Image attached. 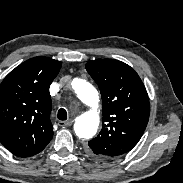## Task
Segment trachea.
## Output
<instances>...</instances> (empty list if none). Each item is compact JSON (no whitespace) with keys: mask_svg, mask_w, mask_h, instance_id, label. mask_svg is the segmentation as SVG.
Returning a JSON list of instances; mask_svg holds the SVG:
<instances>
[{"mask_svg":"<svg viewBox=\"0 0 183 183\" xmlns=\"http://www.w3.org/2000/svg\"><path fill=\"white\" fill-rule=\"evenodd\" d=\"M57 117L59 120H66L67 119V111L64 108L58 110Z\"/></svg>","mask_w":183,"mask_h":183,"instance_id":"1","label":"trachea"}]
</instances>
